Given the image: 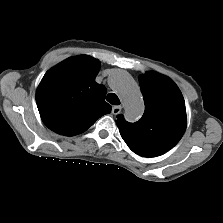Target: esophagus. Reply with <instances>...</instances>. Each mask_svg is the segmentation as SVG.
I'll list each match as a JSON object with an SVG mask.
<instances>
[{
  "label": "esophagus",
  "instance_id": "1",
  "mask_svg": "<svg viewBox=\"0 0 223 223\" xmlns=\"http://www.w3.org/2000/svg\"><path fill=\"white\" fill-rule=\"evenodd\" d=\"M122 107L121 106H113L112 107V114L117 115L121 112Z\"/></svg>",
  "mask_w": 223,
  "mask_h": 223
}]
</instances>
